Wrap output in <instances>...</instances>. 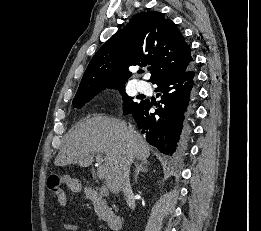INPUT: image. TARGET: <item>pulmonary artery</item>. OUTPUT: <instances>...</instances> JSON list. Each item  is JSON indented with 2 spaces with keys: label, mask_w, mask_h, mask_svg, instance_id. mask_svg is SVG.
I'll use <instances>...</instances> for the list:
<instances>
[{
  "label": "pulmonary artery",
  "mask_w": 261,
  "mask_h": 231,
  "mask_svg": "<svg viewBox=\"0 0 261 231\" xmlns=\"http://www.w3.org/2000/svg\"><path fill=\"white\" fill-rule=\"evenodd\" d=\"M138 88L143 92L146 91L145 83L143 81L138 82Z\"/></svg>",
  "instance_id": "e3ab8cb5"
}]
</instances>
